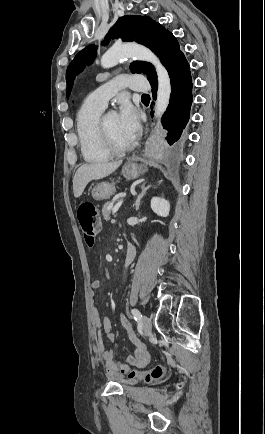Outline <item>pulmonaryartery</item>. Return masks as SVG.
<instances>
[{"label": "pulmonary artery", "instance_id": "1", "mask_svg": "<svg viewBox=\"0 0 265 434\" xmlns=\"http://www.w3.org/2000/svg\"><path fill=\"white\" fill-rule=\"evenodd\" d=\"M130 84H147V75L119 74L108 81H104L103 87H95L94 91H88L89 103H100L106 106L107 100L116 95V90H122L123 86Z\"/></svg>", "mask_w": 265, "mask_h": 434}]
</instances>
